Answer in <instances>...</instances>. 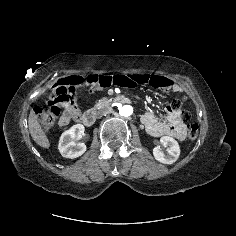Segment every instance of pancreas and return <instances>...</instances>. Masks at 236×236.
Listing matches in <instances>:
<instances>
[{"label": "pancreas", "instance_id": "1", "mask_svg": "<svg viewBox=\"0 0 236 236\" xmlns=\"http://www.w3.org/2000/svg\"><path fill=\"white\" fill-rule=\"evenodd\" d=\"M106 103H108V100L106 98L100 99L98 103L96 104V108H101L103 107Z\"/></svg>", "mask_w": 236, "mask_h": 236}]
</instances>
